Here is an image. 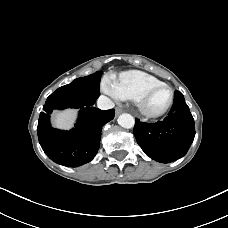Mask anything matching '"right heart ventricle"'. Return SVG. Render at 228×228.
<instances>
[{"instance_id":"1","label":"right heart ventricle","mask_w":228,"mask_h":228,"mask_svg":"<svg viewBox=\"0 0 228 228\" xmlns=\"http://www.w3.org/2000/svg\"><path fill=\"white\" fill-rule=\"evenodd\" d=\"M163 83L155 76L142 71L122 73L114 84L115 92L122 100L136 101L148 87Z\"/></svg>"}]
</instances>
